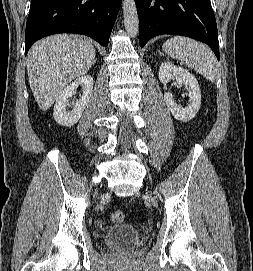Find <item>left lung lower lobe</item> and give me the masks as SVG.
<instances>
[{"mask_svg":"<svg viewBox=\"0 0 253 271\" xmlns=\"http://www.w3.org/2000/svg\"><path fill=\"white\" fill-rule=\"evenodd\" d=\"M140 46L162 34L187 36L206 43L219 60L216 19L210 0H135Z\"/></svg>","mask_w":253,"mask_h":271,"instance_id":"1","label":"left lung lower lobe"}]
</instances>
